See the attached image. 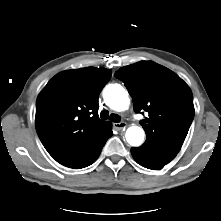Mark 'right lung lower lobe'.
<instances>
[{
	"label": "right lung lower lobe",
	"mask_w": 221,
	"mask_h": 221,
	"mask_svg": "<svg viewBox=\"0 0 221 221\" xmlns=\"http://www.w3.org/2000/svg\"><path fill=\"white\" fill-rule=\"evenodd\" d=\"M113 135L111 124L97 138L86 144L75 155L62 162L61 164L73 168L80 169L91 165L98 158L106 141Z\"/></svg>",
	"instance_id": "98d812e1"
}]
</instances>
